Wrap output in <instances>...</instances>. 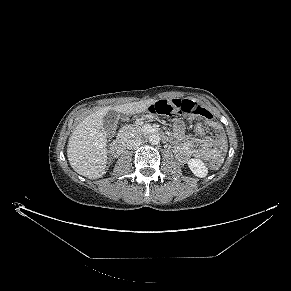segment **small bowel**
I'll return each instance as SVG.
<instances>
[{
  "label": "small bowel",
  "mask_w": 291,
  "mask_h": 291,
  "mask_svg": "<svg viewBox=\"0 0 291 291\" xmlns=\"http://www.w3.org/2000/svg\"><path fill=\"white\" fill-rule=\"evenodd\" d=\"M205 125L203 122H198L195 127L196 131L202 133ZM210 127L216 131L215 136H205L185 141L184 122L181 120L175 122L172 141L178 143L176 155L181 161H187L190 158H200L206 161L221 160L225 148V138L218 123L213 121Z\"/></svg>",
  "instance_id": "1"
}]
</instances>
